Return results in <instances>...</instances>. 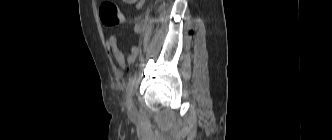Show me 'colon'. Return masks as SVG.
<instances>
[{"label":"colon","mask_w":332,"mask_h":140,"mask_svg":"<svg viewBox=\"0 0 332 140\" xmlns=\"http://www.w3.org/2000/svg\"><path fill=\"white\" fill-rule=\"evenodd\" d=\"M99 13L102 23L108 27L119 25L124 21L119 7L109 0H105L101 3Z\"/></svg>","instance_id":"5ec220e1"}]
</instances>
